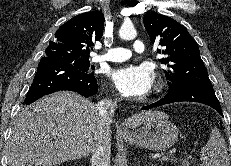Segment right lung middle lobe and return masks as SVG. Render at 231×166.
<instances>
[{
    "label": "right lung middle lobe",
    "instance_id": "dd1d6c3e",
    "mask_svg": "<svg viewBox=\"0 0 231 166\" xmlns=\"http://www.w3.org/2000/svg\"><path fill=\"white\" fill-rule=\"evenodd\" d=\"M58 61H62L70 65H73L75 68L79 69L82 72L91 73L89 71V59L59 58Z\"/></svg>",
    "mask_w": 231,
    "mask_h": 166
}]
</instances>
